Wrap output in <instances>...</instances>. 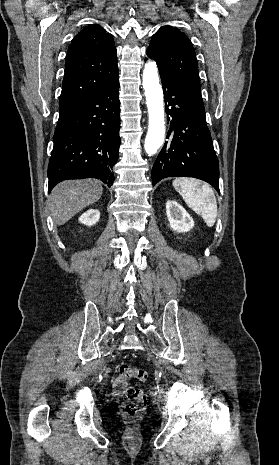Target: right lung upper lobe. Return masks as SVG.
Returning a JSON list of instances; mask_svg holds the SVG:
<instances>
[{"label":"right lung upper lobe","mask_w":279,"mask_h":465,"mask_svg":"<svg viewBox=\"0 0 279 465\" xmlns=\"http://www.w3.org/2000/svg\"><path fill=\"white\" fill-rule=\"evenodd\" d=\"M118 76L114 40L97 24L79 32L68 48L60 116L69 113Z\"/></svg>","instance_id":"right-lung-upper-lobe-1"}]
</instances>
